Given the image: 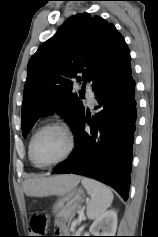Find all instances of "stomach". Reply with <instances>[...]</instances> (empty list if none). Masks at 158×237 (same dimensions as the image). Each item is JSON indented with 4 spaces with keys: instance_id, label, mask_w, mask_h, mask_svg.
<instances>
[{
    "instance_id": "obj_1",
    "label": "stomach",
    "mask_w": 158,
    "mask_h": 237,
    "mask_svg": "<svg viewBox=\"0 0 158 237\" xmlns=\"http://www.w3.org/2000/svg\"><path fill=\"white\" fill-rule=\"evenodd\" d=\"M84 198V190L77 188V185L58 195L57 201L53 204V213L61 220L64 227L66 222L73 218L78 208L84 202Z\"/></svg>"
}]
</instances>
